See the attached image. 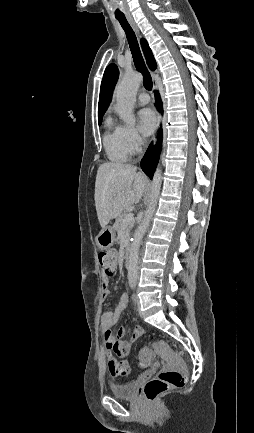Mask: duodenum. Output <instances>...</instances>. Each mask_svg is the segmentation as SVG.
<instances>
[{"label": "duodenum", "instance_id": "1", "mask_svg": "<svg viewBox=\"0 0 254 433\" xmlns=\"http://www.w3.org/2000/svg\"><path fill=\"white\" fill-rule=\"evenodd\" d=\"M130 255H131V246L129 244L125 247V255H124V266L125 268H129L131 265L130 262Z\"/></svg>", "mask_w": 254, "mask_h": 433}]
</instances>
